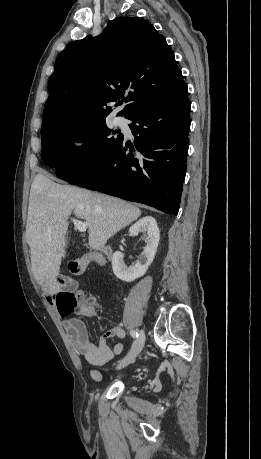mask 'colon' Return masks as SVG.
Returning a JSON list of instances; mask_svg holds the SVG:
<instances>
[{
    "label": "colon",
    "instance_id": "1",
    "mask_svg": "<svg viewBox=\"0 0 261 459\" xmlns=\"http://www.w3.org/2000/svg\"><path fill=\"white\" fill-rule=\"evenodd\" d=\"M92 261L91 255H86L81 258H74L68 262V270L73 275H81L85 271L88 262ZM60 313L63 316H69L77 311L83 314L95 313L98 310L96 298L87 293L78 292L70 293L62 297L59 306Z\"/></svg>",
    "mask_w": 261,
    "mask_h": 459
}]
</instances>
